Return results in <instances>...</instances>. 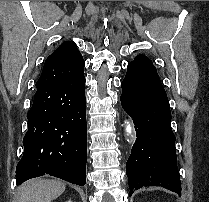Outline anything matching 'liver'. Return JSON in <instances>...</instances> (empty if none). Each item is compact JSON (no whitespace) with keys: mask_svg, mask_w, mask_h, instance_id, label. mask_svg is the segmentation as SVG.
I'll list each match as a JSON object with an SVG mask.
<instances>
[{"mask_svg":"<svg viewBox=\"0 0 209 202\" xmlns=\"http://www.w3.org/2000/svg\"><path fill=\"white\" fill-rule=\"evenodd\" d=\"M65 191V183L58 180L36 179L17 189L14 202H51Z\"/></svg>","mask_w":209,"mask_h":202,"instance_id":"obj_1","label":"liver"}]
</instances>
